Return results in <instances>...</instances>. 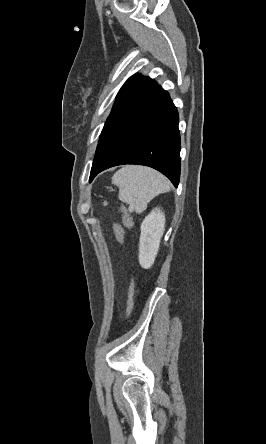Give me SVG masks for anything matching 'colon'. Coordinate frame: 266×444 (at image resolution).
<instances>
[{"label": "colon", "mask_w": 266, "mask_h": 444, "mask_svg": "<svg viewBox=\"0 0 266 444\" xmlns=\"http://www.w3.org/2000/svg\"><path fill=\"white\" fill-rule=\"evenodd\" d=\"M132 227H133L132 219L127 214H125L123 217V224L116 223L114 225V236L119 245L123 243L125 228L130 230ZM133 301H134V284L133 282H131L128 288L127 300H126L127 317H129L132 312Z\"/></svg>", "instance_id": "5ec220e1"}]
</instances>
